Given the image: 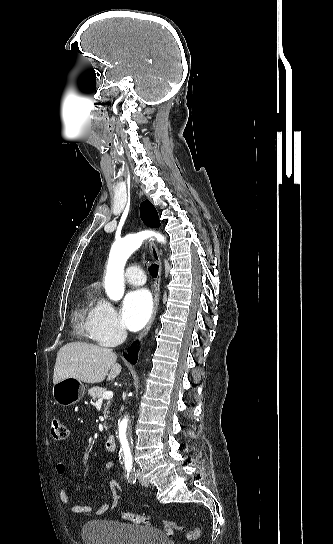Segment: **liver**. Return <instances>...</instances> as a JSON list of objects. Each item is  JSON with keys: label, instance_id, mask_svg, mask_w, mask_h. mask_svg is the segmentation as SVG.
<instances>
[{"label": "liver", "instance_id": "6515ba94", "mask_svg": "<svg viewBox=\"0 0 333 544\" xmlns=\"http://www.w3.org/2000/svg\"><path fill=\"white\" fill-rule=\"evenodd\" d=\"M116 360L112 349L78 341L67 343L57 353L53 383L65 378L92 384L102 382L106 376L108 381L113 380L122 370Z\"/></svg>", "mask_w": 333, "mask_h": 544}]
</instances>
